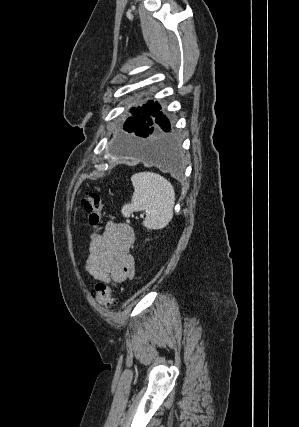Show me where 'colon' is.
Segmentation results:
<instances>
[{"mask_svg": "<svg viewBox=\"0 0 299 427\" xmlns=\"http://www.w3.org/2000/svg\"><path fill=\"white\" fill-rule=\"evenodd\" d=\"M81 205L88 214L89 223L92 226H97L103 211L100 195L96 192H87L81 200ZM94 297L99 304L109 307L114 306L117 301L112 289L103 282H99L96 285Z\"/></svg>", "mask_w": 299, "mask_h": 427, "instance_id": "1", "label": "colon"}]
</instances>
